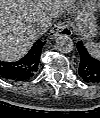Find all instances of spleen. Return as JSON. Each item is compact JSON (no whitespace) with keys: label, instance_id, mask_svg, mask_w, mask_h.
Here are the masks:
<instances>
[{"label":"spleen","instance_id":"spleen-1","mask_svg":"<svg viewBox=\"0 0 100 118\" xmlns=\"http://www.w3.org/2000/svg\"><path fill=\"white\" fill-rule=\"evenodd\" d=\"M86 48L88 49V51L93 57L95 58L100 57V45L98 43L87 42Z\"/></svg>","mask_w":100,"mask_h":118}]
</instances>
